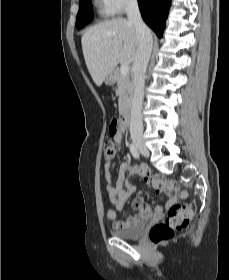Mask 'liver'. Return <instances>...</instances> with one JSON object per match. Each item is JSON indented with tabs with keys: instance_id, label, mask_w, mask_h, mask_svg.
Masks as SVG:
<instances>
[{
	"instance_id": "6515ba94",
	"label": "liver",
	"mask_w": 229,
	"mask_h": 280,
	"mask_svg": "<svg viewBox=\"0 0 229 280\" xmlns=\"http://www.w3.org/2000/svg\"><path fill=\"white\" fill-rule=\"evenodd\" d=\"M81 43L88 71L100 87L119 63L134 62L138 35L134 24L125 18H116L89 28L82 35Z\"/></svg>"
}]
</instances>
